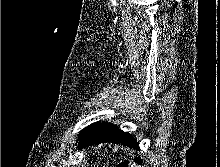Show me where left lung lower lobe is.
Instances as JSON below:
<instances>
[{"mask_svg":"<svg viewBox=\"0 0 220 167\" xmlns=\"http://www.w3.org/2000/svg\"><path fill=\"white\" fill-rule=\"evenodd\" d=\"M107 142L139 149L137 141L131 135L109 123L92 124L79 139L78 149Z\"/></svg>","mask_w":220,"mask_h":167,"instance_id":"1","label":"left lung lower lobe"}]
</instances>
